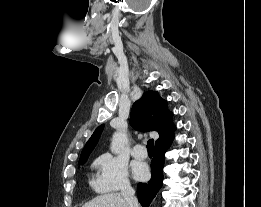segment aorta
I'll return each mask as SVG.
<instances>
[{"instance_id":"1","label":"aorta","mask_w":261,"mask_h":207,"mask_svg":"<svg viewBox=\"0 0 261 207\" xmlns=\"http://www.w3.org/2000/svg\"><path fill=\"white\" fill-rule=\"evenodd\" d=\"M128 139L127 135L123 132H115L111 141V152L114 154H118L126 145Z\"/></svg>"}]
</instances>
